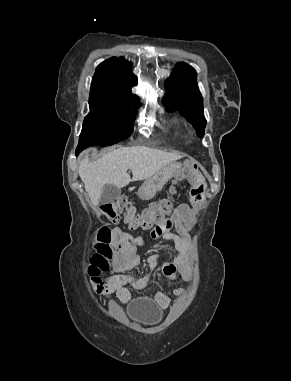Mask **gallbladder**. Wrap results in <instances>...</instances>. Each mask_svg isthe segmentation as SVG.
<instances>
[{"mask_svg":"<svg viewBox=\"0 0 291 381\" xmlns=\"http://www.w3.org/2000/svg\"><path fill=\"white\" fill-rule=\"evenodd\" d=\"M121 194V189L112 184H107L104 186L101 196L100 203L106 204L112 202L119 198Z\"/></svg>","mask_w":291,"mask_h":381,"instance_id":"bac80fb5","label":"gallbladder"}]
</instances>
